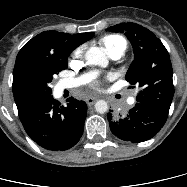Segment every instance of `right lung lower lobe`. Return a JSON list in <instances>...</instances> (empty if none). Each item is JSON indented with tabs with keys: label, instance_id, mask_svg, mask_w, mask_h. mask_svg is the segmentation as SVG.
Returning <instances> with one entry per match:
<instances>
[{
	"label": "right lung lower lobe",
	"instance_id": "obj_1",
	"mask_svg": "<svg viewBox=\"0 0 187 187\" xmlns=\"http://www.w3.org/2000/svg\"><path fill=\"white\" fill-rule=\"evenodd\" d=\"M62 106L51 95L18 108L22 125L39 146L51 151H64L81 138L87 105L73 97Z\"/></svg>",
	"mask_w": 187,
	"mask_h": 187
}]
</instances>
